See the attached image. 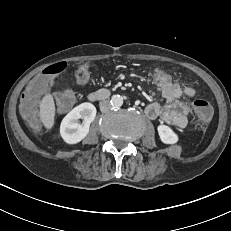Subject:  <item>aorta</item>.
Segmentation results:
<instances>
[{"label": "aorta", "instance_id": "obj_1", "mask_svg": "<svg viewBox=\"0 0 231 231\" xmlns=\"http://www.w3.org/2000/svg\"><path fill=\"white\" fill-rule=\"evenodd\" d=\"M110 102L113 107L119 108L123 105V97L120 95H113Z\"/></svg>", "mask_w": 231, "mask_h": 231}]
</instances>
